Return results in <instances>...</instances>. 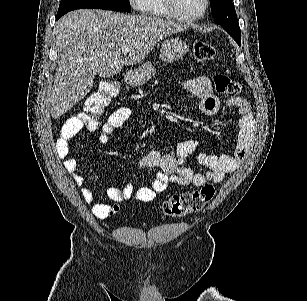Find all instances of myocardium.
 I'll use <instances>...</instances> for the list:
<instances>
[{
    "instance_id": "myocardium-1",
    "label": "myocardium",
    "mask_w": 307,
    "mask_h": 301,
    "mask_svg": "<svg viewBox=\"0 0 307 301\" xmlns=\"http://www.w3.org/2000/svg\"><path fill=\"white\" fill-rule=\"evenodd\" d=\"M173 0H162L164 17H170L171 22H196L197 18L206 14L207 0H202L199 11H174Z\"/></svg>"
}]
</instances>
